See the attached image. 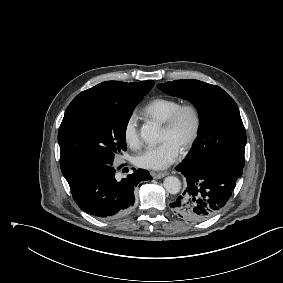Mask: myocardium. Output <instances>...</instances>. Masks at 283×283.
Wrapping results in <instances>:
<instances>
[{
	"instance_id": "obj_1",
	"label": "myocardium",
	"mask_w": 283,
	"mask_h": 283,
	"mask_svg": "<svg viewBox=\"0 0 283 283\" xmlns=\"http://www.w3.org/2000/svg\"><path fill=\"white\" fill-rule=\"evenodd\" d=\"M189 114L192 118V129L189 137L181 147L182 151H188L196 142L202 124V117L199 108L194 103L180 104L163 124V129L167 132H173L177 128L183 115Z\"/></svg>"
}]
</instances>
